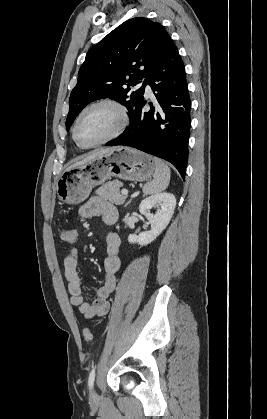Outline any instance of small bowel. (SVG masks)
Instances as JSON below:
<instances>
[{
	"instance_id": "obj_1",
	"label": "small bowel",
	"mask_w": 267,
	"mask_h": 419,
	"mask_svg": "<svg viewBox=\"0 0 267 419\" xmlns=\"http://www.w3.org/2000/svg\"><path fill=\"white\" fill-rule=\"evenodd\" d=\"M79 215L82 218L100 217L104 224L113 225L117 221L118 211L108 200L93 197L79 208ZM106 244L107 257L104 260L103 284L96 290V297L92 302H88L83 295L82 279L78 272V249L74 244L69 247L64 258L70 303L76 306L86 319H92L107 313L110 306L108 298L116 288V274L121 265L118 256L120 248L119 236L116 233H109L106 237Z\"/></svg>"
}]
</instances>
